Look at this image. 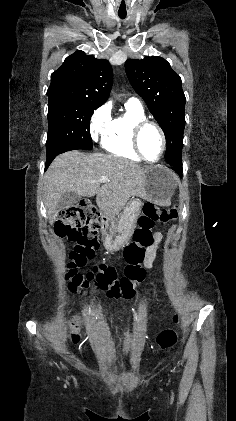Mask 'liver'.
<instances>
[{"label":"liver","mask_w":236,"mask_h":421,"mask_svg":"<svg viewBox=\"0 0 236 421\" xmlns=\"http://www.w3.org/2000/svg\"><path fill=\"white\" fill-rule=\"evenodd\" d=\"M101 176H108L102 184ZM94 196L104 217L116 219L130 196L147 198L146 168L113 154L69 150L58 154L44 176V202L50 225L56 221L57 204L64 192Z\"/></svg>","instance_id":"6515ba94"}]
</instances>
